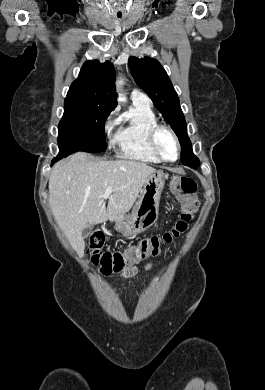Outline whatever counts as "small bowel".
<instances>
[{"instance_id": "obj_1", "label": "small bowel", "mask_w": 265, "mask_h": 390, "mask_svg": "<svg viewBox=\"0 0 265 390\" xmlns=\"http://www.w3.org/2000/svg\"><path fill=\"white\" fill-rule=\"evenodd\" d=\"M152 266H153V263L149 262L144 266V270H146V271L150 270L152 268ZM138 271L139 270L137 267H130L127 270L121 272L120 276L123 278H131V277H134L138 273Z\"/></svg>"}]
</instances>
